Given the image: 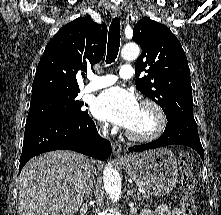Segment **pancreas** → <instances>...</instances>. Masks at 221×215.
Here are the masks:
<instances>
[{
    "instance_id": "1",
    "label": "pancreas",
    "mask_w": 221,
    "mask_h": 215,
    "mask_svg": "<svg viewBox=\"0 0 221 215\" xmlns=\"http://www.w3.org/2000/svg\"><path fill=\"white\" fill-rule=\"evenodd\" d=\"M140 204L147 207V206H150V204L152 203V199L149 197V196H146V195H142L140 196Z\"/></svg>"
}]
</instances>
